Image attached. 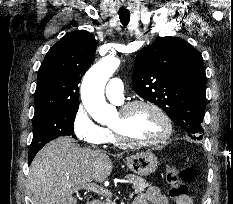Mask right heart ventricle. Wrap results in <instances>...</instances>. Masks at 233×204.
<instances>
[{"mask_svg":"<svg viewBox=\"0 0 233 204\" xmlns=\"http://www.w3.org/2000/svg\"><path fill=\"white\" fill-rule=\"evenodd\" d=\"M105 134H106V142L108 143H117L115 136L113 135L110 128H104Z\"/></svg>","mask_w":233,"mask_h":204,"instance_id":"right-heart-ventricle-1","label":"right heart ventricle"}]
</instances>
